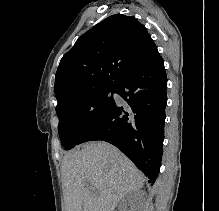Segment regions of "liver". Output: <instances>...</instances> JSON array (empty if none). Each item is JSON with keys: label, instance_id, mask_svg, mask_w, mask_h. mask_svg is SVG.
<instances>
[{"label": "liver", "instance_id": "obj_1", "mask_svg": "<svg viewBox=\"0 0 219 211\" xmlns=\"http://www.w3.org/2000/svg\"><path fill=\"white\" fill-rule=\"evenodd\" d=\"M144 181L133 161L106 141H89L63 157L66 211H114L122 197L140 191Z\"/></svg>", "mask_w": 219, "mask_h": 211}]
</instances>
